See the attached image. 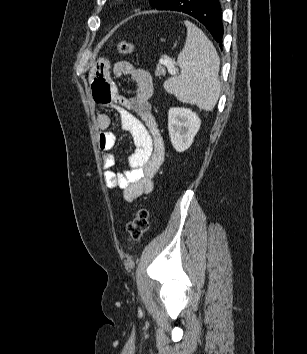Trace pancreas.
Returning a JSON list of instances; mask_svg holds the SVG:
<instances>
[{
  "mask_svg": "<svg viewBox=\"0 0 307 354\" xmlns=\"http://www.w3.org/2000/svg\"><path fill=\"white\" fill-rule=\"evenodd\" d=\"M155 75L158 77L166 75V69L164 66L161 65V63L157 65V68L155 70Z\"/></svg>",
  "mask_w": 307,
  "mask_h": 354,
  "instance_id": "pancreas-1",
  "label": "pancreas"
}]
</instances>
